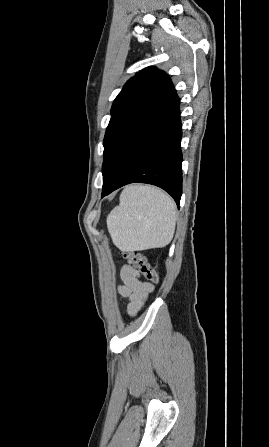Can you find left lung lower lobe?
Instances as JSON below:
<instances>
[{
	"instance_id": "obj_1",
	"label": "left lung lower lobe",
	"mask_w": 269,
	"mask_h": 447,
	"mask_svg": "<svg viewBox=\"0 0 269 447\" xmlns=\"http://www.w3.org/2000/svg\"><path fill=\"white\" fill-rule=\"evenodd\" d=\"M181 137L179 99L175 93L167 113L144 135L114 180L103 185L101 197L129 183H148L167 191L179 208L182 194Z\"/></svg>"
}]
</instances>
